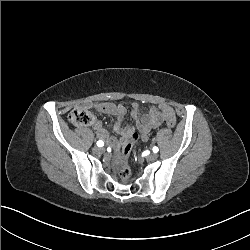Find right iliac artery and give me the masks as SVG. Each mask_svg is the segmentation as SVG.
Returning a JSON list of instances; mask_svg holds the SVG:
<instances>
[{
    "label": "right iliac artery",
    "mask_w": 250,
    "mask_h": 250,
    "mask_svg": "<svg viewBox=\"0 0 250 250\" xmlns=\"http://www.w3.org/2000/svg\"><path fill=\"white\" fill-rule=\"evenodd\" d=\"M97 146L98 147H103L104 146V142L102 140L97 141Z\"/></svg>",
    "instance_id": "82829eb1"
}]
</instances>
